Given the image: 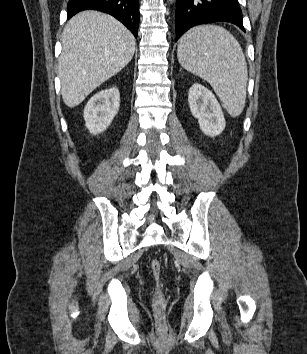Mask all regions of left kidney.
<instances>
[{
	"label": "left kidney",
	"mask_w": 307,
	"mask_h": 354,
	"mask_svg": "<svg viewBox=\"0 0 307 354\" xmlns=\"http://www.w3.org/2000/svg\"><path fill=\"white\" fill-rule=\"evenodd\" d=\"M188 103L205 135L215 137L222 133L226 125L224 114L210 90L198 83L193 84L189 89Z\"/></svg>",
	"instance_id": "5707ae66"
}]
</instances>
